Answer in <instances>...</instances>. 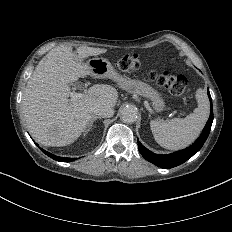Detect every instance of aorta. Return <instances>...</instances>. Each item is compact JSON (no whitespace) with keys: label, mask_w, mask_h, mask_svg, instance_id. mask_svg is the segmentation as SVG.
Listing matches in <instances>:
<instances>
[{"label":"aorta","mask_w":232,"mask_h":232,"mask_svg":"<svg viewBox=\"0 0 232 232\" xmlns=\"http://www.w3.org/2000/svg\"><path fill=\"white\" fill-rule=\"evenodd\" d=\"M122 120L125 123H133L137 120L138 114L134 107H126L122 110Z\"/></svg>","instance_id":"aorta-1"}]
</instances>
